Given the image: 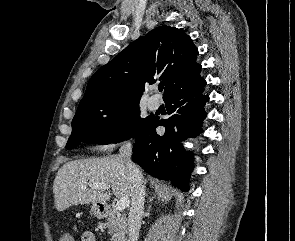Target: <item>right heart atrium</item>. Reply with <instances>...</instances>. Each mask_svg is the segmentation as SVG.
Wrapping results in <instances>:
<instances>
[{"mask_svg":"<svg viewBox=\"0 0 295 241\" xmlns=\"http://www.w3.org/2000/svg\"><path fill=\"white\" fill-rule=\"evenodd\" d=\"M112 147H113V144L111 142H105V143L100 144V148L104 149V150L110 149Z\"/></svg>","mask_w":295,"mask_h":241,"instance_id":"obj_1","label":"right heart atrium"}]
</instances>
